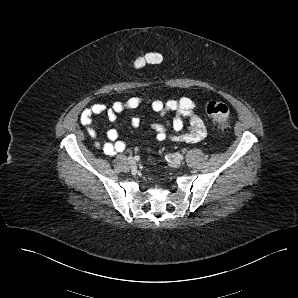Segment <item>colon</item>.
Listing matches in <instances>:
<instances>
[{
	"instance_id": "obj_1",
	"label": "colon",
	"mask_w": 298,
	"mask_h": 298,
	"mask_svg": "<svg viewBox=\"0 0 298 298\" xmlns=\"http://www.w3.org/2000/svg\"><path fill=\"white\" fill-rule=\"evenodd\" d=\"M161 58L160 55L154 51H150L138 58L134 64L137 68H143L146 65L158 64ZM206 115L222 128H227L231 121V111L229 107L220 101H209L204 106Z\"/></svg>"
}]
</instances>
